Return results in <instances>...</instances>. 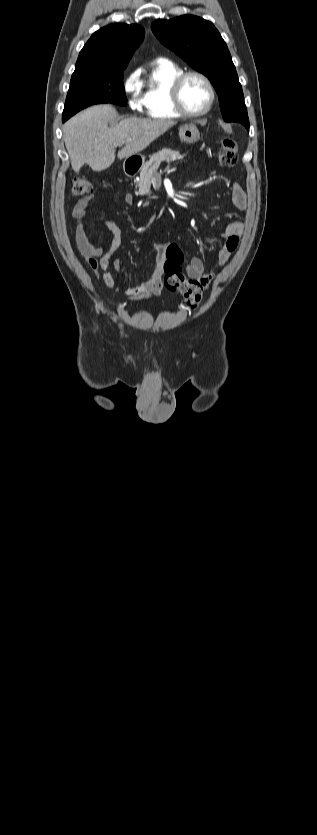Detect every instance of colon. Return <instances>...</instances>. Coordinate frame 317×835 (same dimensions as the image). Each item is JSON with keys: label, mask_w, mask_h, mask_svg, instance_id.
<instances>
[{"label": "colon", "mask_w": 317, "mask_h": 835, "mask_svg": "<svg viewBox=\"0 0 317 835\" xmlns=\"http://www.w3.org/2000/svg\"><path fill=\"white\" fill-rule=\"evenodd\" d=\"M218 160L223 166H233L237 161V143L229 136L223 137ZM93 191L92 183L85 177H77L73 182L72 192L75 196L88 195ZM163 286L174 292L181 293L182 306L196 307L202 297L203 288L194 279L187 277L178 260L168 258L162 265Z\"/></svg>", "instance_id": "colon-1"}]
</instances>
